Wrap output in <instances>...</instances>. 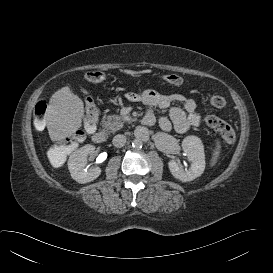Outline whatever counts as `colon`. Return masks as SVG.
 Here are the masks:
<instances>
[{"label": "colon", "instance_id": "1", "mask_svg": "<svg viewBox=\"0 0 273 273\" xmlns=\"http://www.w3.org/2000/svg\"><path fill=\"white\" fill-rule=\"evenodd\" d=\"M85 78L88 82L97 84L105 79V74L101 70L93 69L86 72ZM161 79L164 82L175 86H179L184 83V79L181 76L175 74L163 75L161 76ZM210 104L213 107L222 108L226 105V100L222 96L214 95L210 98ZM85 109L86 112L83 119V127L85 131L91 132L97 126L99 110L95 101L89 95H86L85 97ZM46 112V101H38L34 107V124L35 127L39 130L45 127ZM205 123L209 127L216 130L226 143L233 144L235 142L236 134L234 129L219 117H216L214 115H207L205 117ZM82 139L83 134L81 132L75 133L66 144L54 147L50 153V157L52 158L56 154L68 151L71 148L72 143H80ZM56 160L57 159H54V162H56Z\"/></svg>", "mask_w": 273, "mask_h": 273}]
</instances>
